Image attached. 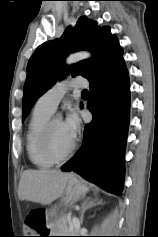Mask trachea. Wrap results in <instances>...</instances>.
Instances as JSON below:
<instances>
[{
    "label": "trachea",
    "instance_id": "obj_1",
    "mask_svg": "<svg viewBox=\"0 0 158 237\" xmlns=\"http://www.w3.org/2000/svg\"><path fill=\"white\" fill-rule=\"evenodd\" d=\"M82 95L89 96V92L87 90H83Z\"/></svg>",
    "mask_w": 158,
    "mask_h": 237
}]
</instances>
